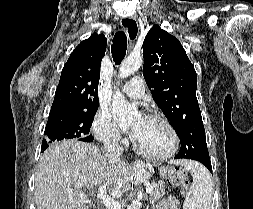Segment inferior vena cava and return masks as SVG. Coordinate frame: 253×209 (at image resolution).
I'll use <instances>...</instances> for the list:
<instances>
[{"label":"inferior vena cava","instance_id":"602c4592","mask_svg":"<svg viewBox=\"0 0 253 209\" xmlns=\"http://www.w3.org/2000/svg\"><path fill=\"white\" fill-rule=\"evenodd\" d=\"M120 136L118 134H112L104 140V149L108 158L112 162L120 161L122 154V147L119 144Z\"/></svg>","mask_w":253,"mask_h":209}]
</instances>
